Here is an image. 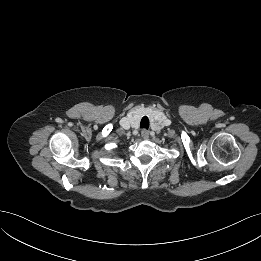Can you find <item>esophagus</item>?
Wrapping results in <instances>:
<instances>
[{"instance_id":"obj_1","label":"esophagus","mask_w":261,"mask_h":261,"mask_svg":"<svg viewBox=\"0 0 261 261\" xmlns=\"http://www.w3.org/2000/svg\"><path fill=\"white\" fill-rule=\"evenodd\" d=\"M141 136L144 138V139H148L149 138V131L146 130V129H143L141 131Z\"/></svg>"}]
</instances>
